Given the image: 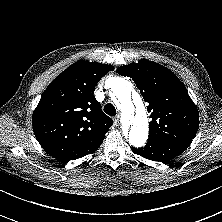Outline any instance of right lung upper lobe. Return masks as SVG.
<instances>
[{
  "mask_svg": "<svg viewBox=\"0 0 222 222\" xmlns=\"http://www.w3.org/2000/svg\"><path fill=\"white\" fill-rule=\"evenodd\" d=\"M110 65L80 60L47 87L34 110V134L43 149L61 162L94 153L102 144L110 117L93 93Z\"/></svg>",
  "mask_w": 222,
  "mask_h": 222,
  "instance_id": "1",
  "label": "right lung upper lobe"
}]
</instances>
